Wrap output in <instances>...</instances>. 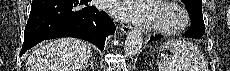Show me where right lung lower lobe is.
<instances>
[{
	"label": "right lung lower lobe",
	"mask_w": 230,
	"mask_h": 71,
	"mask_svg": "<svg viewBox=\"0 0 230 71\" xmlns=\"http://www.w3.org/2000/svg\"><path fill=\"white\" fill-rule=\"evenodd\" d=\"M88 1L33 0L20 55L43 40L59 37L84 39L103 50L115 25L107 13L88 5Z\"/></svg>",
	"instance_id": "right-lung-lower-lobe-1"
}]
</instances>
